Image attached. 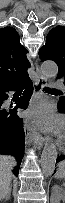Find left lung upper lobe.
Wrapping results in <instances>:
<instances>
[{
  "mask_svg": "<svg viewBox=\"0 0 65 203\" xmlns=\"http://www.w3.org/2000/svg\"><path fill=\"white\" fill-rule=\"evenodd\" d=\"M42 61L54 60L59 72L57 78H63L65 84V27L57 26L48 33L45 45L39 50ZM58 107L65 110V97L59 99Z\"/></svg>",
  "mask_w": 65,
  "mask_h": 203,
  "instance_id": "1",
  "label": "left lung upper lobe"
}]
</instances>
